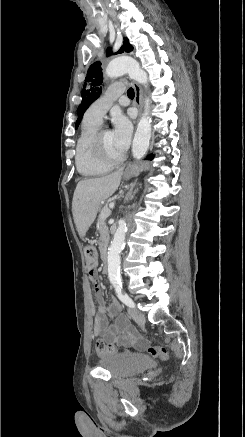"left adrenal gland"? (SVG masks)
Listing matches in <instances>:
<instances>
[{
    "instance_id": "a2214340",
    "label": "left adrenal gland",
    "mask_w": 245,
    "mask_h": 437,
    "mask_svg": "<svg viewBox=\"0 0 245 437\" xmlns=\"http://www.w3.org/2000/svg\"><path fill=\"white\" fill-rule=\"evenodd\" d=\"M136 182L131 186L129 192L126 194L125 200L129 201L132 200L134 198V195L138 192V189H136L135 191H133L134 187L136 186Z\"/></svg>"
}]
</instances>
